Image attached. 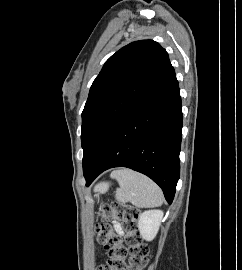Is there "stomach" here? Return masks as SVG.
I'll return each instance as SVG.
<instances>
[{
	"mask_svg": "<svg viewBox=\"0 0 242 270\" xmlns=\"http://www.w3.org/2000/svg\"><path fill=\"white\" fill-rule=\"evenodd\" d=\"M104 187H105V186H104ZM104 187H103V186H100V187L98 188V190L101 191V190L104 189Z\"/></svg>",
	"mask_w": 242,
	"mask_h": 270,
	"instance_id": "stomach-1",
	"label": "stomach"
}]
</instances>
